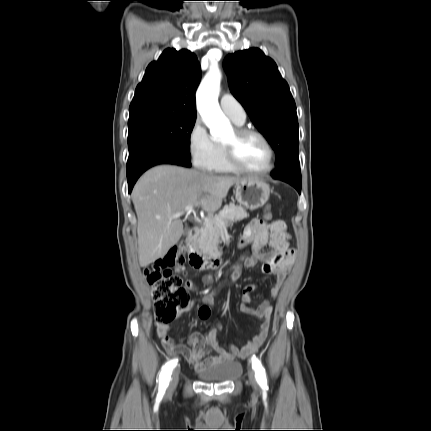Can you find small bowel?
Returning <instances> with one entry per match:
<instances>
[{"instance_id": "1", "label": "small bowel", "mask_w": 431, "mask_h": 431, "mask_svg": "<svg viewBox=\"0 0 431 431\" xmlns=\"http://www.w3.org/2000/svg\"><path fill=\"white\" fill-rule=\"evenodd\" d=\"M239 245L241 248L250 247V253H246L244 258L238 261L242 262V265H239L242 268L241 271H230L232 275L227 273V278L236 277L238 280L244 269L261 264L262 274L276 277L275 282L269 288V293L275 297L294 262V251L290 246V236L286 230V224L281 220L267 222L262 219H253L244 228ZM266 245L270 248L268 253L262 251ZM185 285L192 291L198 290L190 279H186ZM256 289L255 284H247L242 289L240 311L260 321L258 332L246 345L238 347L233 344H222L218 338V330L221 329V325L218 323L212 325L205 335L197 332L192 333L187 338V345L177 344L170 336L171 326L161 324L157 327V335L162 342L163 348L170 355H182L197 371L232 362L235 358H245L256 353L267 337L272 314V306L268 301L262 302L258 307L249 306ZM205 296L206 294L201 298L203 299ZM194 303L191 302L190 304L194 306ZM209 304L211 306L213 302H209ZM201 308L200 306L199 309ZM212 351L217 354L211 355Z\"/></svg>"}]
</instances>
